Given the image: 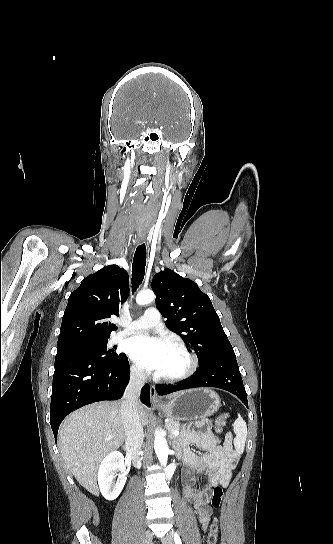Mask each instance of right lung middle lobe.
I'll list each match as a JSON object with an SVG mask.
<instances>
[{
	"label": "right lung middle lobe",
	"instance_id": "1",
	"mask_svg": "<svg viewBox=\"0 0 333 544\" xmlns=\"http://www.w3.org/2000/svg\"><path fill=\"white\" fill-rule=\"evenodd\" d=\"M108 339L103 340H94L89 342H84L78 345H74L64 349H76L84 350L91 357L100 360L102 362L113 363L117 361L124 354H116L112 350H107Z\"/></svg>",
	"mask_w": 333,
	"mask_h": 544
}]
</instances>
